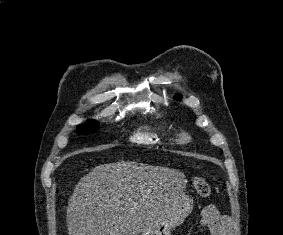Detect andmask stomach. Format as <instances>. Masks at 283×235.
<instances>
[{"label": "stomach", "mask_w": 283, "mask_h": 235, "mask_svg": "<svg viewBox=\"0 0 283 235\" xmlns=\"http://www.w3.org/2000/svg\"><path fill=\"white\" fill-rule=\"evenodd\" d=\"M193 201L189 195L183 191L176 194L169 213L149 228L145 229L140 235H171V229L181 224L191 213Z\"/></svg>", "instance_id": "1"}]
</instances>
